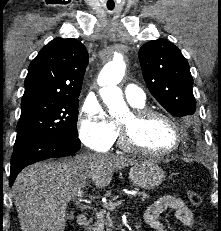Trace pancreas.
Listing matches in <instances>:
<instances>
[{"instance_id": "obj_1", "label": "pancreas", "mask_w": 221, "mask_h": 231, "mask_svg": "<svg viewBox=\"0 0 221 231\" xmlns=\"http://www.w3.org/2000/svg\"><path fill=\"white\" fill-rule=\"evenodd\" d=\"M137 195L140 196L142 200L149 198V194L144 191L138 192ZM107 210L108 208L103 206L102 209L96 212V222L89 231H113L111 229L114 228L113 222L110 212Z\"/></svg>"}]
</instances>
